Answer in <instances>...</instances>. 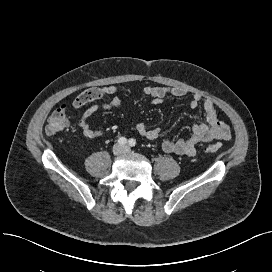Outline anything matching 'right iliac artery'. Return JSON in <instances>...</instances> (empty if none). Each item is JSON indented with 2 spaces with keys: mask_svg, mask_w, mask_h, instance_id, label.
<instances>
[{
  "mask_svg": "<svg viewBox=\"0 0 272 272\" xmlns=\"http://www.w3.org/2000/svg\"><path fill=\"white\" fill-rule=\"evenodd\" d=\"M118 143H119L120 145H125V144L127 143V139H126L125 137H120V138L118 139Z\"/></svg>",
  "mask_w": 272,
  "mask_h": 272,
  "instance_id": "right-iliac-artery-1",
  "label": "right iliac artery"
}]
</instances>
